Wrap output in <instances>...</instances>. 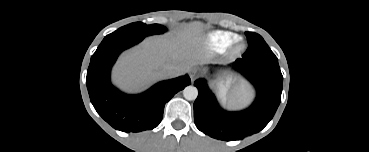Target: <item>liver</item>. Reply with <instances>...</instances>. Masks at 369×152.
<instances>
[{"instance_id":"1","label":"liver","mask_w":369,"mask_h":152,"mask_svg":"<svg viewBox=\"0 0 369 152\" xmlns=\"http://www.w3.org/2000/svg\"><path fill=\"white\" fill-rule=\"evenodd\" d=\"M202 29L200 23L188 24L174 36L150 37L123 53L113 71L115 84L125 91L136 92L168 77L164 72L166 65L177 66L180 74L184 73L195 60ZM246 94L243 90L242 95Z\"/></svg>"}]
</instances>
